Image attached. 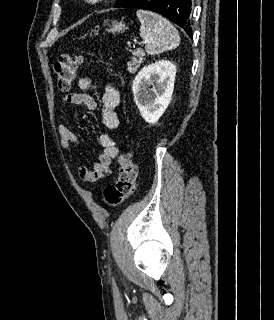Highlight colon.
I'll return each mask as SVG.
<instances>
[{
  "mask_svg": "<svg viewBox=\"0 0 274 320\" xmlns=\"http://www.w3.org/2000/svg\"><path fill=\"white\" fill-rule=\"evenodd\" d=\"M81 61L78 51L61 54L54 63L57 87L68 92L74 82L77 65ZM136 169L129 155H122L119 160L118 178L115 185H108L103 191V200L111 207L129 199L134 193Z\"/></svg>",
  "mask_w": 274,
  "mask_h": 320,
  "instance_id": "colon-1",
  "label": "colon"
}]
</instances>
